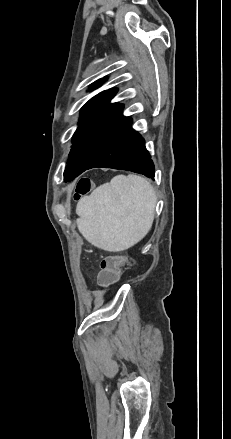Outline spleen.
<instances>
[{
    "label": "spleen",
    "instance_id": "1",
    "mask_svg": "<svg viewBox=\"0 0 231 439\" xmlns=\"http://www.w3.org/2000/svg\"><path fill=\"white\" fill-rule=\"evenodd\" d=\"M155 205V191L145 178L118 175L78 202V230L98 248L123 251L149 232Z\"/></svg>",
    "mask_w": 231,
    "mask_h": 439
}]
</instances>
